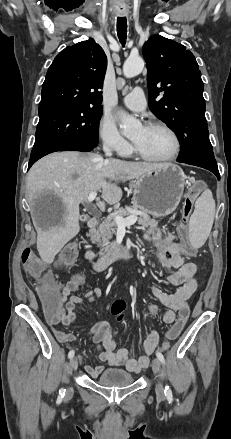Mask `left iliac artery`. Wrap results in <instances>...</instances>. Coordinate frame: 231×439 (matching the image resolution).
I'll return each instance as SVG.
<instances>
[{
  "label": "left iliac artery",
  "mask_w": 231,
  "mask_h": 439,
  "mask_svg": "<svg viewBox=\"0 0 231 439\" xmlns=\"http://www.w3.org/2000/svg\"><path fill=\"white\" fill-rule=\"evenodd\" d=\"M156 356L158 357V359L161 361L162 364L165 363V359H164V356L162 355V353L156 352ZM164 393H165V396H167L168 399L172 398V391L169 388V386L165 387Z\"/></svg>",
  "instance_id": "obj_1"
}]
</instances>
